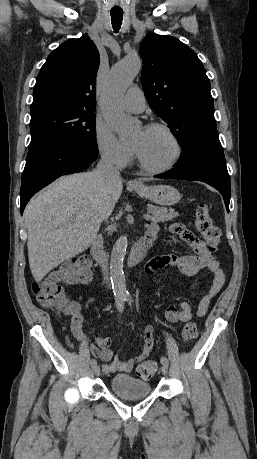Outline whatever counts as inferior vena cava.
<instances>
[{"label":"inferior vena cava","mask_w":257,"mask_h":459,"mask_svg":"<svg viewBox=\"0 0 257 459\" xmlns=\"http://www.w3.org/2000/svg\"><path fill=\"white\" fill-rule=\"evenodd\" d=\"M94 174L100 183L116 182L120 179V173L118 169L114 166L112 159L107 154H102ZM108 258V253H106L104 250H101L98 262L102 268L104 282L106 284L109 282Z\"/></svg>","instance_id":"602c4592"}]
</instances>
